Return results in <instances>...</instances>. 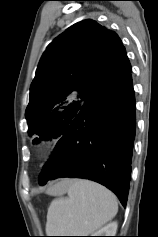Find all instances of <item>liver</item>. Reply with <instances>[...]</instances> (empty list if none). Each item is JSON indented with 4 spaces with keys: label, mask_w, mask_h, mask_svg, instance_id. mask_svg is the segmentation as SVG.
<instances>
[{
    "label": "liver",
    "mask_w": 158,
    "mask_h": 237,
    "mask_svg": "<svg viewBox=\"0 0 158 237\" xmlns=\"http://www.w3.org/2000/svg\"><path fill=\"white\" fill-rule=\"evenodd\" d=\"M71 181H63L59 184H57L54 188L48 190L49 193H63V187H64V184H69Z\"/></svg>",
    "instance_id": "1"
}]
</instances>
